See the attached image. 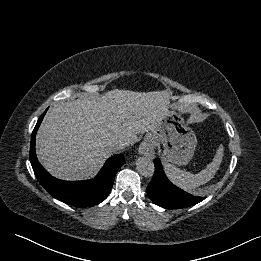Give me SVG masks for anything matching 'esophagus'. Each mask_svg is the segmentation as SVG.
Returning <instances> with one entry per match:
<instances>
[{
    "instance_id": "1",
    "label": "esophagus",
    "mask_w": 261,
    "mask_h": 261,
    "mask_svg": "<svg viewBox=\"0 0 261 261\" xmlns=\"http://www.w3.org/2000/svg\"><path fill=\"white\" fill-rule=\"evenodd\" d=\"M139 154L152 158L154 156V142L151 139H145L139 146Z\"/></svg>"
}]
</instances>
